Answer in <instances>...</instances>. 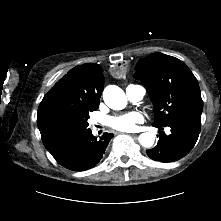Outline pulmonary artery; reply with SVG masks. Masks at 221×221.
Returning <instances> with one entry per match:
<instances>
[{
	"label": "pulmonary artery",
	"instance_id": "e3ab8cb5",
	"mask_svg": "<svg viewBox=\"0 0 221 221\" xmlns=\"http://www.w3.org/2000/svg\"><path fill=\"white\" fill-rule=\"evenodd\" d=\"M126 95L129 100L137 102L142 100L145 95V89L141 85L131 84L126 88Z\"/></svg>",
	"mask_w": 221,
	"mask_h": 221
}]
</instances>
